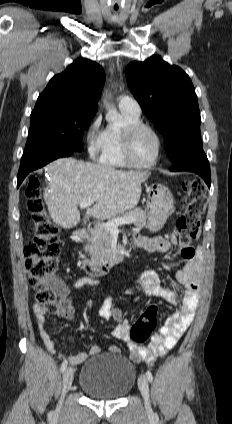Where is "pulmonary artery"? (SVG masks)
<instances>
[{
  "instance_id": "obj_1",
  "label": "pulmonary artery",
  "mask_w": 232,
  "mask_h": 424,
  "mask_svg": "<svg viewBox=\"0 0 232 424\" xmlns=\"http://www.w3.org/2000/svg\"><path fill=\"white\" fill-rule=\"evenodd\" d=\"M118 107L122 111H129L135 114H141V107L139 103L130 96H121L118 99Z\"/></svg>"
}]
</instances>
